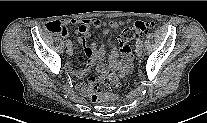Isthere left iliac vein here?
<instances>
[{
  "mask_svg": "<svg viewBox=\"0 0 207 123\" xmlns=\"http://www.w3.org/2000/svg\"><path fill=\"white\" fill-rule=\"evenodd\" d=\"M135 52H136V55H137L138 57H140V56L142 55V45H141V44H137V45H136V50H135Z\"/></svg>",
  "mask_w": 207,
  "mask_h": 123,
  "instance_id": "1",
  "label": "left iliac vein"
}]
</instances>
